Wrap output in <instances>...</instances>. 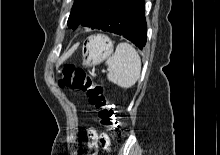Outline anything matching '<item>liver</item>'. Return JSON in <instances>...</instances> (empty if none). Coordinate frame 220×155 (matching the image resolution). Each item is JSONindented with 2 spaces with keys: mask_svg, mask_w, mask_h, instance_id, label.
Instances as JSON below:
<instances>
[{
  "mask_svg": "<svg viewBox=\"0 0 220 155\" xmlns=\"http://www.w3.org/2000/svg\"><path fill=\"white\" fill-rule=\"evenodd\" d=\"M76 47H74L67 55L63 56L61 58V61L60 62H63L64 60H66L72 53L73 51L75 50Z\"/></svg>",
  "mask_w": 220,
  "mask_h": 155,
  "instance_id": "6515ba94",
  "label": "liver"
}]
</instances>
